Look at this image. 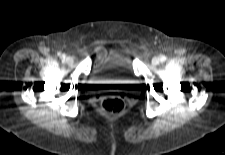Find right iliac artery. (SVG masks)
<instances>
[{
    "instance_id": "82829eb1",
    "label": "right iliac artery",
    "mask_w": 225,
    "mask_h": 155,
    "mask_svg": "<svg viewBox=\"0 0 225 155\" xmlns=\"http://www.w3.org/2000/svg\"><path fill=\"white\" fill-rule=\"evenodd\" d=\"M65 57H66V56H65L64 54L61 55V58H62L63 60H65Z\"/></svg>"
}]
</instances>
